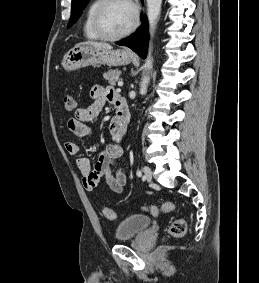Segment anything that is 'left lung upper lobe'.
<instances>
[{
	"label": "left lung upper lobe",
	"mask_w": 259,
	"mask_h": 283,
	"mask_svg": "<svg viewBox=\"0 0 259 283\" xmlns=\"http://www.w3.org/2000/svg\"><path fill=\"white\" fill-rule=\"evenodd\" d=\"M89 0H72L71 17L67 27L74 24L81 15L82 10L85 8Z\"/></svg>",
	"instance_id": "obj_1"
}]
</instances>
